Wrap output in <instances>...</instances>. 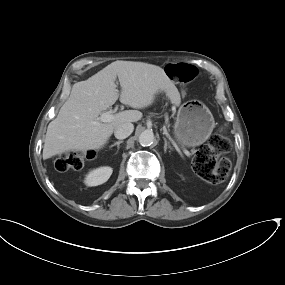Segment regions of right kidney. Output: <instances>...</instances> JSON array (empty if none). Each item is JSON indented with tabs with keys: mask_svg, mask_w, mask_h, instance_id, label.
<instances>
[{
	"mask_svg": "<svg viewBox=\"0 0 285 285\" xmlns=\"http://www.w3.org/2000/svg\"><path fill=\"white\" fill-rule=\"evenodd\" d=\"M113 170L111 167H100L92 170L85 178L87 186H98L105 183L111 176Z\"/></svg>",
	"mask_w": 285,
	"mask_h": 285,
	"instance_id": "obj_1",
	"label": "right kidney"
}]
</instances>
